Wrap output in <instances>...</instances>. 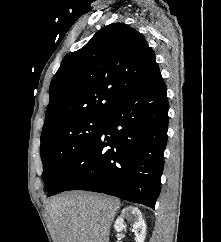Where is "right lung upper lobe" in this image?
Instances as JSON below:
<instances>
[{
    "mask_svg": "<svg viewBox=\"0 0 221 242\" xmlns=\"http://www.w3.org/2000/svg\"><path fill=\"white\" fill-rule=\"evenodd\" d=\"M158 72L141 33L124 23L105 26L62 60L50 84L42 135L81 117L103 116Z\"/></svg>",
    "mask_w": 221,
    "mask_h": 242,
    "instance_id": "1",
    "label": "right lung upper lobe"
}]
</instances>
